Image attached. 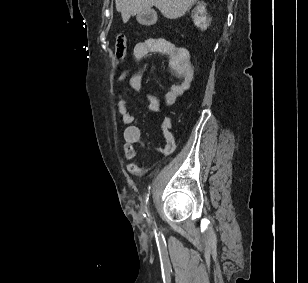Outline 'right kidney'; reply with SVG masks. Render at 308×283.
<instances>
[{
    "instance_id": "ca27d5eb",
    "label": "right kidney",
    "mask_w": 308,
    "mask_h": 283,
    "mask_svg": "<svg viewBox=\"0 0 308 283\" xmlns=\"http://www.w3.org/2000/svg\"><path fill=\"white\" fill-rule=\"evenodd\" d=\"M205 13H206L205 4L201 3L197 6L196 11L192 16L194 24L197 27L201 28V30H206L207 27L209 26Z\"/></svg>"
}]
</instances>
